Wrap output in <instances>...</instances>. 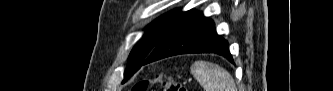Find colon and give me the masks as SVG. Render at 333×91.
Masks as SVG:
<instances>
[{
	"label": "colon",
	"instance_id": "obj_1",
	"mask_svg": "<svg viewBox=\"0 0 333 91\" xmlns=\"http://www.w3.org/2000/svg\"><path fill=\"white\" fill-rule=\"evenodd\" d=\"M154 85L159 86L162 91H187L186 87L166 74L140 80L133 86L132 91H149Z\"/></svg>",
	"mask_w": 333,
	"mask_h": 91
}]
</instances>
